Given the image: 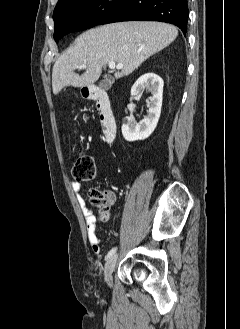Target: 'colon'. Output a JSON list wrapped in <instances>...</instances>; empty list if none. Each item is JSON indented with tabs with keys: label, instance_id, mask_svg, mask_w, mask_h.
<instances>
[{
	"label": "colon",
	"instance_id": "obj_1",
	"mask_svg": "<svg viewBox=\"0 0 240 329\" xmlns=\"http://www.w3.org/2000/svg\"><path fill=\"white\" fill-rule=\"evenodd\" d=\"M72 177L77 182H91L95 180L97 175L96 164L94 158L87 153H79L74 159L72 169ZM90 202L99 208L100 217L106 221L110 216L111 195L107 191L92 189L89 192Z\"/></svg>",
	"mask_w": 240,
	"mask_h": 329
}]
</instances>
